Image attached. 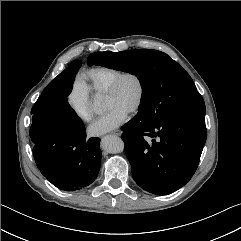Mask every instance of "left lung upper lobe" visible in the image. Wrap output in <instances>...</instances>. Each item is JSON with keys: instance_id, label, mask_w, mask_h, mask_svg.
Here are the masks:
<instances>
[{"instance_id": "1", "label": "left lung upper lobe", "mask_w": 241, "mask_h": 241, "mask_svg": "<svg viewBox=\"0 0 241 241\" xmlns=\"http://www.w3.org/2000/svg\"><path fill=\"white\" fill-rule=\"evenodd\" d=\"M87 63L136 75L143 88L136 116L149 122L159 121L176 112L206 113L204 100L189 74L161 51L97 52L88 57Z\"/></svg>"}]
</instances>
